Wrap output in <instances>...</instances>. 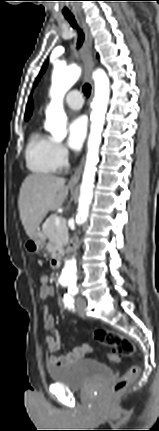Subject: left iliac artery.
Masks as SVG:
<instances>
[{
    "label": "left iliac artery",
    "mask_w": 159,
    "mask_h": 431,
    "mask_svg": "<svg viewBox=\"0 0 159 431\" xmlns=\"http://www.w3.org/2000/svg\"><path fill=\"white\" fill-rule=\"evenodd\" d=\"M73 285H74V289L71 292H69L70 294H66L63 299L65 306L68 307L69 309H74L73 295H75L78 292V289L75 287V284Z\"/></svg>",
    "instance_id": "obj_1"
}]
</instances>
